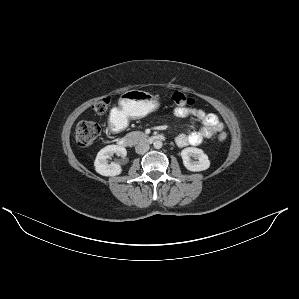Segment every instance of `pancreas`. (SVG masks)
Returning <instances> with one entry per match:
<instances>
[{"mask_svg": "<svg viewBox=\"0 0 299 299\" xmlns=\"http://www.w3.org/2000/svg\"><path fill=\"white\" fill-rule=\"evenodd\" d=\"M128 136L133 137L136 141H142L147 138V135L140 131L131 132Z\"/></svg>", "mask_w": 299, "mask_h": 299, "instance_id": "cf45deb5", "label": "pancreas"}]
</instances>
